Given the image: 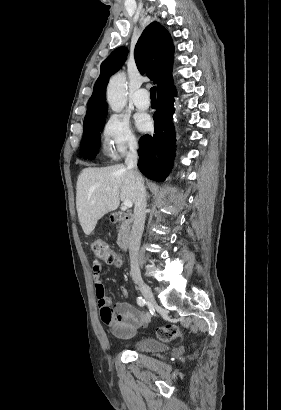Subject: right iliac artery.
<instances>
[{
	"label": "right iliac artery",
	"mask_w": 281,
	"mask_h": 410,
	"mask_svg": "<svg viewBox=\"0 0 281 410\" xmlns=\"http://www.w3.org/2000/svg\"><path fill=\"white\" fill-rule=\"evenodd\" d=\"M137 304L141 307L144 306L145 305V299L143 297H138L137 298Z\"/></svg>",
	"instance_id": "obj_1"
}]
</instances>
